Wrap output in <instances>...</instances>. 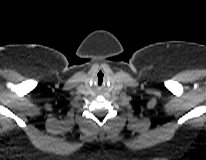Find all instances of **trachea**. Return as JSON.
I'll return each instance as SVG.
<instances>
[{"label": "trachea", "mask_w": 206, "mask_h": 160, "mask_svg": "<svg viewBox=\"0 0 206 160\" xmlns=\"http://www.w3.org/2000/svg\"><path fill=\"white\" fill-rule=\"evenodd\" d=\"M97 76H98V77H97V83H98L99 86H101L102 83H103V76H104V75H103V73L100 71Z\"/></svg>", "instance_id": "trachea-1"}]
</instances>
